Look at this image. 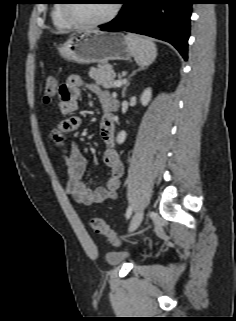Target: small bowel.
Wrapping results in <instances>:
<instances>
[{"label":"small bowel","instance_id":"c3829d8e","mask_svg":"<svg viewBox=\"0 0 236 321\" xmlns=\"http://www.w3.org/2000/svg\"><path fill=\"white\" fill-rule=\"evenodd\" d=\"M82 89L94 94L103 108L100 122L101 135L106 143L103 161L110 171V176L105 187L95 189L89 187L82 180L87 167L86 158L77 145L68 144L65 140L66 133L75 131L81 125V119L70 116V114L78 110ZM110 99L107 90L92 82L84 81L78 75L68 76L66 82L59 89L58 109L65 118L51 131L50 137L66 165V192L83 205L101 204L107 200H115L123 175L124 167L115 148V121L108 109Z\"/></svg>","mask_w":236,"mask_h":321}]
</instances>
